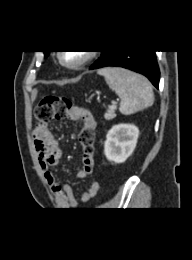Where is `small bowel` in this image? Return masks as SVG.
<instances>
[{"mask_svg":"<svg viewBox=\"0 0 192 260\" xmlns=\"http://www.w3.org/2000/svg\"><path fill=\"white\" fill-rule=\"evenodd\" d=\"M70 119L81 121L84 125L89 123L95 129L96 122L89 112L87 116H72ZM33 140L35 149L38 154L39 164L45 180L49 184L51 191L60 208L74 209L78 206V202L74 196L71 186L57 179L52 171V167L56 166L61 157L62 151L58 146L55 134L46 124H38L33 130ZM94 156L83 155V167L77 173L79 179H85L93 174ZM99 190V183L93 181L88 189L82 193L80 199L82 203H88L92 200Z\"/></svg>","mask_w":192,"mask_h":260,"instance_id":"1","label":"small bowel"}]
</instances>
